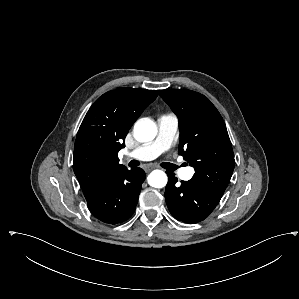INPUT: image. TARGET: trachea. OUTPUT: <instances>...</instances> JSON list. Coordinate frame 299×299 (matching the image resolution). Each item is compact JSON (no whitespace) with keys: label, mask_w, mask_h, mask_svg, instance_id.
<instances>
[{"label":"trachea","mask_w":299,"mask_h":299,"mask_svg":"<svg viewBox=\"0 0 299 299\" xmlns=\"http://www.w3.org/2000/svg\"><path fill=\"white\" fill-rule=\"evenodd\" d=\"M128 165H129L130 167H137V166L140 165V163H139V161H137V160H132V161L129 162ZM162 166H163L164 168L168 169V170H171V171L175 170V168H176V166H174V165H172V164H167V163L163 164Z\"/></svg>","instance_id":"obj_1"}]
</instances>
